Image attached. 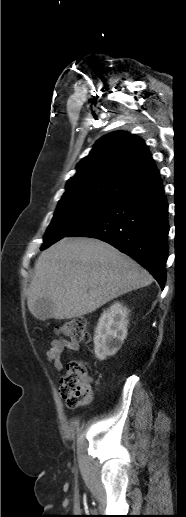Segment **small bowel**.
Instances as JSON below:
<instances>
[{"label":"small bowel","instance_id":"obj_1","mask_svg":"<svg viewBox=\"0 0 186 517\" xmlns=\"http://www.w3.org/2000/svg\"><path fill=\"white\" fill-rule=\"evenodd\" d=\"M65 349L72 352L79 351V344L77 342L68 341L65 339H53L50 343V347L46 352L47 360L53 365L57 371H61L63 368L62 354Z\"/></svg>","mask_w":186,"mask_h":517}]
</instances>
